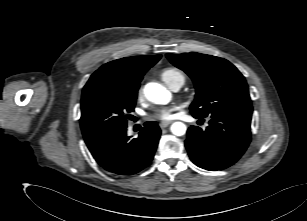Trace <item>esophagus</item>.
<instances>
[{"instance_id":"34e87169","label":"esophagus","mask_w":307,"mask_h":221,"mask_svg":"<svg viewBox=\"0 0 307 221\" xmlns=\"http://www.w3.org/2000/svg\"><path fill=\"white\" fill-rule=\"evenodd\" d=\"M172 122L171 121H166V122H161L159 124L160 128L163 129V128H166L168 125H170Z\"/></svg>"}]
</instances>
